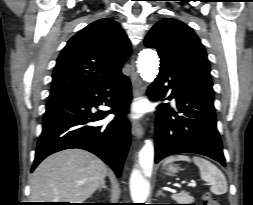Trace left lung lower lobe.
<instances>
[{
    "label": "left lung lower lobe",
    "mask_w": 253,
    "mask_h": 205,
    "mask_svg": "<svg viewBox=\"0 0 253 205\" xmlns=\"http://www.w3.org/2000/svg\"><path fill=\"white\" fill-rule=\"evenodd\" d=\"M168 82V86L163 84ZM176 99L177 111L161 103L155 121V162L178 153H197L225 166L222 143L216 127L213 93L173 64L161 61L160 72L149 90L151 100ZM173 116V117H172Z\"/></svg>",
    "instance_id": "1"
}]
</instances>
